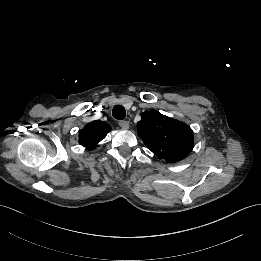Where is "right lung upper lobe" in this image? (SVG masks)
Returning a JSON list of instances; mask_svg holds the SVG:
<instances>
[{
  "mask_svg": "<svg viewBox=\"0 0 261 261\" xmlns=\"http://www.w3.org/2000/svg\"><path fill=\"white\" fill-rule=\"evenodd\" d=\"M111 130V127L103 121H92L88 123L79 133V143L89 150L96 147L106 134Z\"/></svg>",
  "mask_w": 261,
  "mask_h": 261,
  "instance_id": "obj_1",
  "label": "right lung upper lobe"
}]
</instances>
